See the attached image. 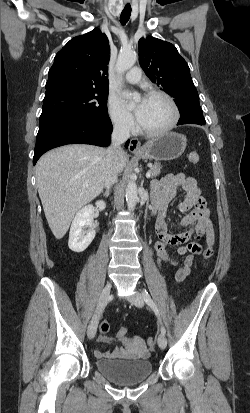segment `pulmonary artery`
<instances>
[{
  "label": "pulmonary artery",
  "mask_w": 250,
  "mask_h": 413,
  "mask_svg": "<svg viewBox=\"0 0 250 413\" xmlns=\"http://www.w3.org/2000/svg\"><path fill=\"white\" fill-rule=\"evenodd\" d=\"M141 79V69L139 67L131 68L125 75V80L130 84H136Z\"/></svg>",
  "instance_id": "obj_1"
}]
</instances>
